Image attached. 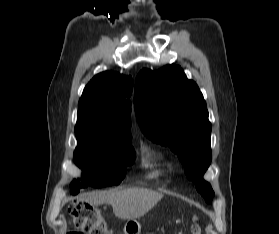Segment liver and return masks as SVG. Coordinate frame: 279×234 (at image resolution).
<instances>
[{
  "instance_id": "6515ba94",
  "label": "liver",
  "mask_w": 279,
  "mask_h": 234,
  "mask_svg": "<svg viewBox=\"0 0 279 234\" xmlns=\"http://www.w3.org/2000/svg\"><path fill=\"white\" fill-rule=\"evenodd\" d=\"M163 195L144 188H128L120 191L94 193L85 201L98 205L108 203L114 215L119 219L130 220L144 216L161 199Z\"/></svg>"
}]
</instances>
